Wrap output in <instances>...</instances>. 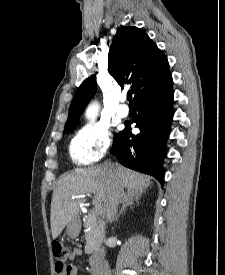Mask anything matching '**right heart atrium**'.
<instances>
[{"label": "right heart atrium", "mask_w": 225, "mask_h": 275, "mask_svg": "<svg viewBox=\"0 0 225 275\" xmlns=\"http://www.w3.org/2000/svg\"><path fill=\"white\" fill-rule=\"evenodd\" d=\"M110 142V132L106 127H84L71 140L70 156L78 165L91 166L103 157Z\"/></svg>", "instance_id": "right-heart-atrium-1"}]
</instances>
